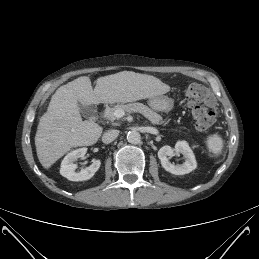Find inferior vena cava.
<instances>
[{
    "label": "inferior vena cava",
    "mask_w": 259,
    "mask_h": 259,
    "mask_svg": "<svg viewBox=\"0 0 259 259\" xmlns=\"http://www.w3.org/2000/svg\"><path fill=\"white\" fill-rule=\"evenodd\" d=\"M118 135H119L118 130H109L103 134L102 142L105 144H109L112 141H114L118 137Z\"/></svg>",
    "instance_id": "602c4592"
}]
</instances>
